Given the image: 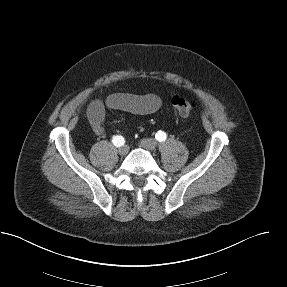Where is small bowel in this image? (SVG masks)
I'll list each match as a JSON object with an SVG mask.
<instances>
[{
	"instance_id": "small-bowel-1",
	"label": "small bowel",
	"mask_w": 287,
	"mask_h": 287,
	"mask_svg": "<svg viewBox=\"0 0 287 287\" xmlns=\"http://www.w3.org/2000/svg\"><path fill=\"white\" fill-rule=\"evenodd\" d=\"M162 100L155 94L137 95L130 93H115L105 101L96 99L87 108V118L96 135L105 132L106 110H119L135 115H147L158 111Z\"/></svg>"
}]
</instances>
